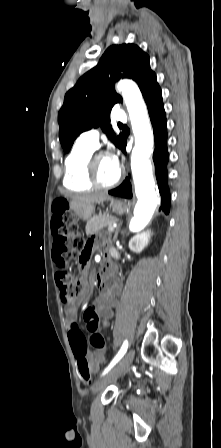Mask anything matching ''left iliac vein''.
Wrapping results in <instances>:
<instances>
[{"label":"left iliac vein","instance_id":"obj_1","mask_svg":"<svg viewBox=\"0 0 221 448\" xmlns=\"http://www.w3.org/2000/svg\"><path fill=\"white\" fill-rule=\"evenodd\" d=\"M134 357L135 350L131 349L106 376L93 384L91 387V392L95 394L116 380L125 370L130 367Z\"/></svg>","mask_w":221,"mask_h":448}]
</instances>
